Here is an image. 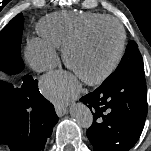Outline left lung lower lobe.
I'll list each match as a JSON object with an SVG mask.
<instances>
[{"label": "left lung lower lobe", "instance_id": "1", "mask_svg": "<svg viewBox=\"0 0 151 151\" xmlns=\"http://www.w3.org/2000/svg\"><path fill=\"white\" fill-rule=\"evenodd\" d=\"M80 101L94 116L87 130L94 151H128L138 141L147 116L144 69L130 70Z\"/></svg>", "mask_w": 151, "mask_h": 151}]
</instances>
